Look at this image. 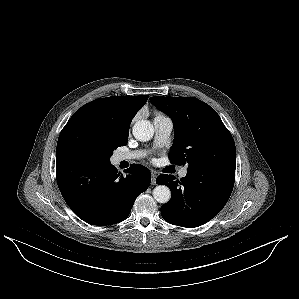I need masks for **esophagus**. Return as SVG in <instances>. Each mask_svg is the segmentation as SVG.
I'll return each instance as SVG.
<instances>
[{
  "label": "esophagus",
  "mask_w": 299,
  "mask_h": 299,
  "mask_svg": "<svg viewBox=\"0 0 299 299\" xmlns=\"http://www.w3.org/2000/svg\"><path fill=\"white\" fill-rule=\"evenodd\" d=\"M156 177H157L156 173L152 171V179H151V184L152 185L156 184Z\"/></svg>",
  "instance_id": "1"
}]
</instances>
